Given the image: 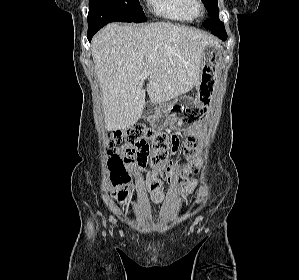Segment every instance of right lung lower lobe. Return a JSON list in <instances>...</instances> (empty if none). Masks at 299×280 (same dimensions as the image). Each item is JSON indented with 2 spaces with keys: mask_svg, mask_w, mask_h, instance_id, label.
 I'll use <instances>...</instances> for the list:
<instances>
[{
  "mask_svg": "<svg viewBox=\"0 0 299 280\" xmlns=\"http://www.w3.org/2000/svg\"><path fill=\"white\" fill-rule=\"evenodd\" d=\"M129 22V20L114 8L95 2L89 4L87 38L90 42L93 35L110 22Z\"/></svg>",
  "mask_w": 299,
  "mask_h": 280,
  "instance_id": "1",
  "label": "right lung lower lobe"
}]
</instances>
